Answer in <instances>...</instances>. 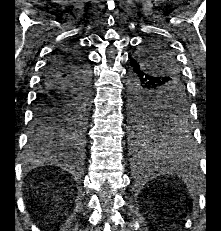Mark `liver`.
<instances>
[{
	"mask_svg": "<svg viewBox=\"0 0 221 231\" xmlns=\"http://www.w3.org/2000/svg\"><path fill=\"white\" fill-rule=\"evenodd\" d=\"M49 155H50V152H46L44 155L43 154L40 155L37 161L45 160L48 158Z\"/></svg>",
	"mask_w": 221,
	"mask_h": 231,
	"instance_id": "6515ba94",
	"label": "liver"
}]
</instances>
